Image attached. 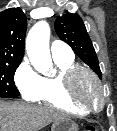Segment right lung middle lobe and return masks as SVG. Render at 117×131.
<instances>
[{
	"mask_svg": "<svg viewBox=\"0 0 117 131\" xmlns=\"http://www.w3.org/2000/svg\"><path fill=\"white\" fill-rule=\"evenodd\" d=\"M20 62H0V97L17 98L20 93L14 83V74Z\"/></svg>",
	"mask_w": 117,
	"mask_h": 131,
	"instance_id": "obj_1",
	"label": "right lung middle lobe"
}]
</instances>
